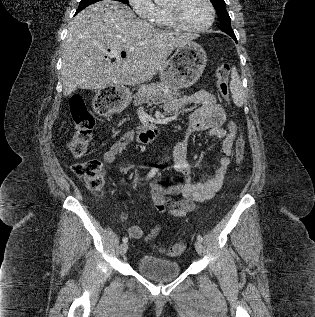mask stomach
I'll list each match as a JSON object with an SVG mask.
<instances>
[{
  "label": "stomach",
  "mask_w": 315,
  "mask_h": 317,
  "mask_svg": "<svg viewBox=\"0 0 315 317\" xmlns=\"http://www.w3.org/2000/svg\"><path fill=\"white\" fill-rule=\"evenodd\" d=\"M207 63V55L201 45L190 41L179 46L159 72L161 84L170 88L192 86L202 75ZM101 95H126V88H101ZM108 111L126 114L129 104H136V97H105Z\"/></svg>",
  "instance_id": "obj_1"
}]
</instances>
